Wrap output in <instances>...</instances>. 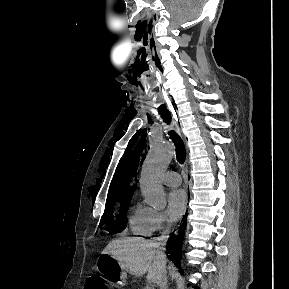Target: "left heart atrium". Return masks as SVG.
Returning a JSON list of instances; mask_svg holds the SVG:
<instances>
[{"instance_id":"obj_1","label":"left heart atrium","mask_w":289,"mask_h":289,"mask_svg":"<svg viewBox=\"0 0 289 289\" xmlns=\"http://www.w3.org/2000/svg\"><path fill=\"white\" fill-rule=\"evenodd\" d=\"M187 196L184 190L174 189L167 195V213L172 220L179 219L185 212Z\"/></svg>"}]
</instances>
